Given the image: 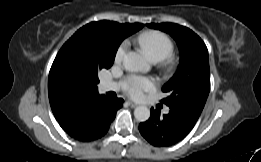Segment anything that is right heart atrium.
Listing matches in <instances>:
<instances>
[{
    "label": "right heart atrium",
    "instance_id": "d8ad5b80",
    "mask_svg": "<svg viewBox=\"0 0 261 162\" xmlns=\"http://www.w3.org/2000/svg\"><path fill=\"white\" fill-rule=\"evenodd\" d=\"M126 51H127L126 43L121 44L116 51L115 62H117V63L122 62V60L124 59V56L126 54Z\"/></svg>",
    "mask_w": 261,
    "mask_h": 162
}]
</instances>
